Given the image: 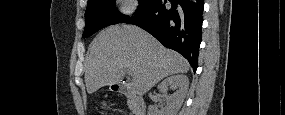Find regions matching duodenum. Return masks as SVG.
Returning a JSON list of instances; mask_svg holds the SVG:
<instances>
[{
	"instance_id": "duodenum-1",
	"label": "duodenum",
	"mask_w": 285,
	"mask_h": 115,
	"mask_svg": "<svg viewBox=\"0 0 285 115\" xmlns=\"http://www.w3.org/2000/svg\"><path fill=\"white\" fill-rule=\"evenodd\" d=\"M113 90L121 95L128 97L132 102V108L135 115H144L146 111V106L143 98L132 91L131 88L126 84H115L113 85Z\"/></svg>"
}]
</instances>
